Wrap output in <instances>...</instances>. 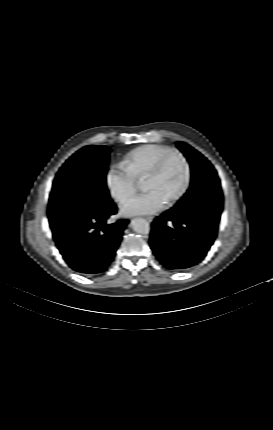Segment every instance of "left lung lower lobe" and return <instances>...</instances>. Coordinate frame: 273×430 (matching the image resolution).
Masks as SVG:
<instances>
[{
  "instance_id": "left-lung-lower-lobe-1",
  "label": "left lung lower lobe",
  "mask_w": 273,
  "mask_h": 430,
  "mask_svg": "<svg viewBox=\"0 0 273 430\" xmlns=\"http://www.w3.org/2000/svg\"><path fill=\"white\" fill-rule=\"evenodd\" d=\"M222 206L221 191L204 189L157 217L149 243L159 261L173 270L198 264L215 240Z\"/></svg>"
}]
</instances>
